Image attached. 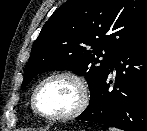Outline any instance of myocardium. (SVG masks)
Returning a JSON list of instances; mask_svg holds the SVG:
<instances>
[{
    "mask_svg": "<svg viewBox=\"0 0 147 131\" xmlns=\"http://www.w3.org/2000/svg\"><path fill=\"white\" fill-rule=\"evenodd\" d=\"M55 78H68L72 81H74L79 90H80V101L78 103V105L76 106L75 109H73L71 112L67 113V114H63V115H47L45 113H43L38 105H37V94L40 90V88L48 81L55 79ZM91 100V92H90V88L89 85L86 81V79L73 71H58V72H54L49 74L48 76L44 77L41 81L38 82V84L35 86L32 95H31V107L33 109V111L42 119L47 120V121H54V122H58V121H67V120H71L74 119L76 117H78L79 115H81L88 107L89 103Z\"/></svg>",
    "mask_w": 147,
    "mask_h": 131,
    "instance_id": "obj_1",
    "label": "myocardium"
}]
</instances>
